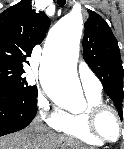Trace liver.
<instances>
[{
	"label": "liver",
	"mask_w": 124,
	"mask_h": 149,
	"mask_svg": "<svg viewBox=\"0 0 124 149\" xmlns=\"http://www.w3.org/2000/svg\"><path fill=\"white\" fill-rule=\"evenodd\" d=\"M62 142L67 143L70 149H87L76 141L49 133L43 127H29L0 138V149H55Z\"/></svg>",
	"instance_id": "1"
}]
</instances>
